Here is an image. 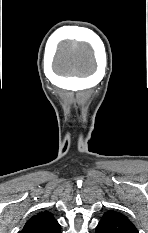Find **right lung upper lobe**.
Instances as JSON below:
<instances>
[{
	"instance_id": "right-lung-upper-lobe-1",
	"label": "right lung upper lobe",
	"mask_w": 148,
	"mask_h": 233,
	"mask_svg": "<svg viewBox=\"0 0 148 233\" xmlns=\"http://www.w3.org/2000/svg\"><path fill=\"white\" fill-rule=\"evenodd\" d=\"M19 233H61V230L53 215L44 211L30 218Z\"/></svg>"
}]
</instances>
